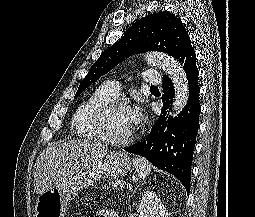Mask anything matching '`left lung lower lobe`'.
<instances>
[{
	"label": "left lung lower lobe",
	"instance_id": "0a47b994",
	"mask_svg": "<svg viewBox=\"0 0 255 217\" xmlns=\"http://www.w3.org/2000/svg\"><path fill=\"white\" fill-rule=\"evenodd\" d=\"M176 59L182 65L188 79L189 98L186 106L175 118L167 115L173 101L174 87L171 79L164 75L162 84L164 107L161 110V117L145 141L125 150L143 156L157 168L174 175L189 193L192 157L201 110L200 88L197 81L199 71L195 51L191 45L183 49Z\"/></svg>",
	"mask_w": 255,
	"mask_h": 217
}]
</instances>
